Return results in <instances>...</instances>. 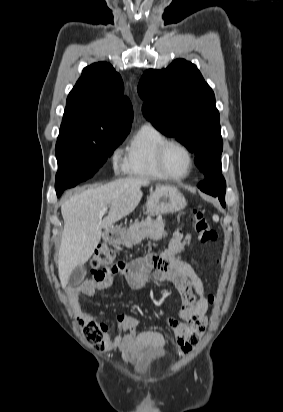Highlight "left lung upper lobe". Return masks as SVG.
I'll return each mask as SVG.
<instances>
[{
    "instance_id": "left-lung-upper-lobe-1",
    "label": "left lung upper lobe",
    "mask_w": 283,
    "mask_h": 412,
    "mask_svg": "<svg viewBox=\"0 0 283 412\" xmlns=\"http://www.w3.org/2000/svg\"><path fill=\"white\" fill-rule=\"evenodd\" d=\"M138 92L143 113L157 119L156 128L175 137L189 151L204 176L210 175L221 160L223 142L215 96L196 66L183 59L173 61L166 69H150L143 75ZM226 182L208 184V193L225 197Z\"/></svg>"
}]
</instances>
